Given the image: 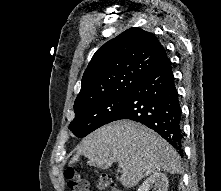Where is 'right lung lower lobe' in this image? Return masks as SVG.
<instances>
[{
  "label": "right lung lower lobe",
  "instance_id": "obj_1",
  "mask_svg": "<svg viewBox=\"0 0 221 191\" xmlns=\"http://www.w3.org/2000/svg\"><path fill=\"white\" fill-rule=\"evenodd\" d=\"M181 113L171 62L167 58L131 91L116 120L129 119L146 125L182 156Z\"/></svg>",
  "mask_w": 221,
  "mask_h": 191
}]
</instances>
